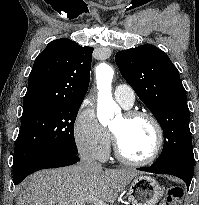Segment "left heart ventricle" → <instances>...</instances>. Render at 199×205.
<instances>
[{"label":"left heart ventricle","mask_w":199,"mask_h":205,"mask_svg":"<svg viewBox=\"0 0 199 205\" xmlns=\"http://www.w3.org/2000/svg\"><path fill=\"white\" fill-rule=\"evenodd\" d=\"M111 129L115 132L121 150L127 157L144 159L153 151L155 131L147 119H127L122 114L113 121Z\"/></svg>","instance_id":"1"}]
</instances>
